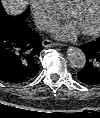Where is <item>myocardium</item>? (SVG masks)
Instances as JSON below:
<instances>
[{"mask_svg": "<svg viewBox=\"0 0 100 118\" xmlns=\"http://www.w3.org/2000/svg\"><path fill=\"white\" fill-rule=\"evenodd\" d=\"M85 1H86V0H74V1L67 7V9L65 10V16H66L67 18H70V15H71L76 9H78L79 7H81V6L84 4ZM99 31H100V8H99L98 18H97V22H96L95 26H94L92 29L88 30V31L82 32V34H83L84 36L90 37V36H94V35L98 34Z\"/></svg>", "mask_w": 100, "mask_h": 118, "instance_id": "1", "label": "myocardium"}]
</instances>
